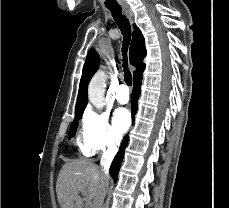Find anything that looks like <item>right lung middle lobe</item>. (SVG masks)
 Listing matches in <instances>:
<instances>
[{
	"label": "right lung middle lobe",
	"mask_w": 229,
	"mask_h": 208,
	"mask_svg": "<svg viewBox=\"0 0 229 208\" xmlns=\"http://www.w3.org/2000/svg\"><path fill=\"white\" fill-rule=\"evenodd\" d=\"M78 120H76L70 127V130H69V138L71 137H74L75 136V132L77 130V127H78Z\"/></svg>",
	"instance_id": "dd1d6c3e"
}]
</instances>
